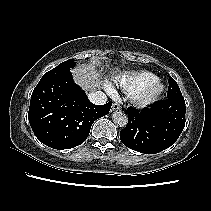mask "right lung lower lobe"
Returning a JSON list of instances; mask_svg holds the SVG:
<instances>
[{
	"mask_svg": "<svg viewBox=\"0 0 211 211\" xmlns=\"http://www.w3.org/2000/svg\"><path fill=\"white\" fill-rule=\"evenodd\" d=\"M111 102L91 103L70 72L39 81L28 112L31 128L43 144L69 149L83 143L93 122L109 113Z\"/></svg>",
	"mask_w": 211,
	"mask_h": 211,
	"instance_id": "98d812e1",
	"label": "right lung lower lobe"
}]
</instances>
